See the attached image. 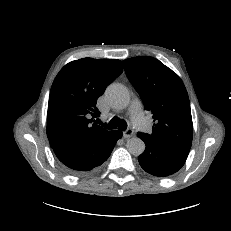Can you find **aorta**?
I'll list each match as a JSON object with an SVG mask.
<instances>
[{
    "instance_id": "obj_1",
    "label": "aorta",
    "mask_w": 231,
    "mask_h": 231,
    "mask_svg": "<svg viewBox=\"0 0 231 231\" xmlns=\"http://www.w3.org/2000/svg\"><path fill=\"white\" fill-rule=\"evenodd\" d=\"M108 102L115 108H126L130 101L128 90L121 84H112L106 90ZM127 150L134 156L141 155L145 150V143L138 137L127 141Z\"/></svg>"
}]
</instances>
